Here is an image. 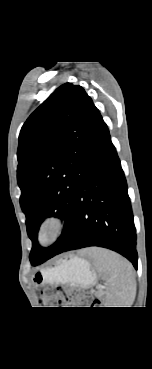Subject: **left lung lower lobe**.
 I'll return each mask as SVG.
<instances>
[{
  "label": "left lung lower lobe",
  "instance_id": "1",
  "mask_svg": "<svg viewBox=\"0 0 152 369\" xmlns=\"http://www.w3.org/2000/svg\"><path fill=\"white\" fill-rule=\"evenodd\" d=\"M83 165L84 173L75 194V219L55 255L100 246L120 253L137 269L136 231L127 183L101 115Z\"/></svg>",
  "mask_w": 152,
  "mask_h": 369
}]
</instances>
